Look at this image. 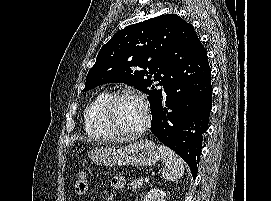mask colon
Wrapping results in <instances>:
<instances>
[{"instance_id":"obj_1","label":"colon","mask_w":271,"mask_h":201,"mask_svg":"<svg viewBox=\"0 0 271 201\" xmlns=\"http://www.w3.org/2000/svg\"><path fill=\"white\" fill-rule=\"evenodd\" d=\"M75 193L78 195H84L88 190V180L86 174L81 171L75 181Z\"/></svg>"}]
</instances>
